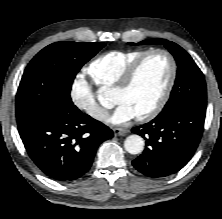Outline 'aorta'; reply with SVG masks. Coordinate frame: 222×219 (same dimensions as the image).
<instances>
[{
    "label": "aorta",
    "instance_id": "aorta-1",
    "mask_svg": "<svg viewBox=\"0 0 222 219\" xmlns=\"http://www.w3.org/2000/svg\"><path fill=\"white\" fill-rule=\"evenodd\" d=\"M99 99H102L101 95ZM144 144V140L141 136L133 134L125 139L124 148L130 154H139L143 151Z\"/></svg>",
    "mask_w": 222,
    "mask_h": 219
}]
</instances>
